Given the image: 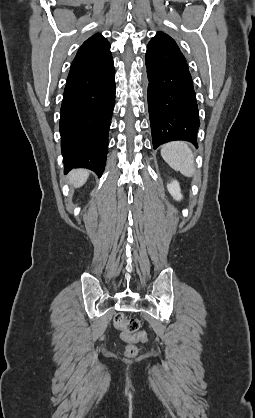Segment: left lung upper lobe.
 <instances>
[{
	"instance_id": "5c2ea615",
	"label": "left lung upper lobe",
	"mask_w": 255,
	"mask_h": 418,
	"mask_svg": "<svg viewBox=\"0 0 255 418\" xmlns=\"http://www.w3.org/2000/svg\"><path fill=\"white\" fill-rule=\"evenodd\" d=\"M154 38L173 40L169 35L162 32H158Z\"/></svg>"
}]
</instances>
